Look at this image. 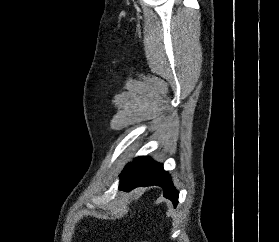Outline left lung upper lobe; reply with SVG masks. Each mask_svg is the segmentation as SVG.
Masks as SVG:
<instances>
[{
    "label": "left lung upper lobe",
    "instance_id": "left-lung-upper-lobe-1",
    "mask_svg": "<svg viewBox=\"0 0 279 242\" xmlns=\"http://www.w3.org/2000/svg\"><path fill=\"white\" fill-rule=\"evenodd\" d=\"M143 157H138L135 158L133 161V164H128L125 169L123 170V172L121 173V178L127 173V171L134 165L136 164L138 161H140Z\"/></svg>",
    "mask_w": 279,
    "mask_h": 242
}]
</instances>
